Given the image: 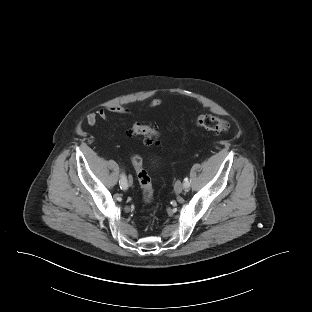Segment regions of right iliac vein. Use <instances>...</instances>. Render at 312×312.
Returning a JSON list of instances; mask_svg holds the SVG:
<instances>
[{"instance_id": "1", "label": "right iliac vein", "mask_w": 312, "mask_h": 312, "mask_svg": "<svg viewBox=\"0 0 312 312\" xmlns=\"http://www.w3.org/2000/svg\"><path fill=\"white\" fill-rule=\"evenodd\" d=\"M128 182H129V184H132V178L131 177H128Z\"/></svg>"}]
</instances>
